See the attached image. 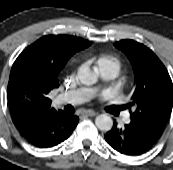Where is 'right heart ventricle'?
Wrapping results in <instances>:
<instances>
[{
  "label": "right heart ventricle",
  "mask_w": 173,
  "mask_h": 170,
  "mask_svg": "<svg viewBox=\"0 0 173 170\" xmlns=\"http://www.w3.org/2000/svg\"><path fill=\"white\" fill-rule=\"evenodd\" d=\"M99 64L109 66L114 68L116 71L120 69V63L116 61L115 59H112L110 57H103L98 61Z\"/></svg>",
  "instance_id": "obj_1"
}]
</instances>
